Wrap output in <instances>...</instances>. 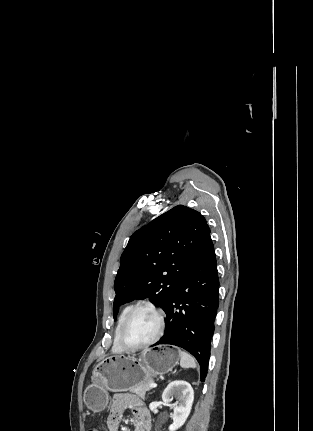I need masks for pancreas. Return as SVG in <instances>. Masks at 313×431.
Instances as JSON below:
<instances>
[{"label": "pancreas", "mask_w": 313, "mask_h": 431, "mask_svg": "<svg viewBox=\"0 0 313 431\" xmlns=\"http://www.w3.org/2000/svg\"><path fill=\"white\" fill-rule=\"evenodd\" d=\"M149 383H150V381L145 382V383L140 384V385H136V386L130 388V391L133 392V393H135L136 395H138L140 398L144 399L146 392L151 389L148 386Z\"/></svg>", "instance_id": "pancreas-1"}]
</instances>
